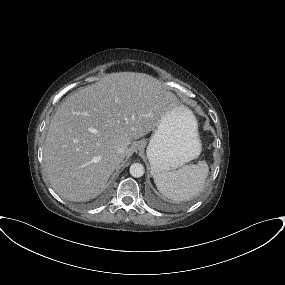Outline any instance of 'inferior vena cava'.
I'll use <instances>...</instances> for the list:
<instances>
[{
  "instance_id": "1",
  "label": "inferior vena cava",
  "mask_w": 285,
  "mask_h": 285,
  "mask_svg": "<svg viewBox=\"0 0 285 285\" xmlns=\"http://www.w3.org/2000/svg\"><path fill=\"white\" fill-rule=\"evenodd\" d=\"M117 153H118L119 156L125 157L126 149H125L124 147H120V148L117 150Z\"/></svg>"
}]
</instances>
